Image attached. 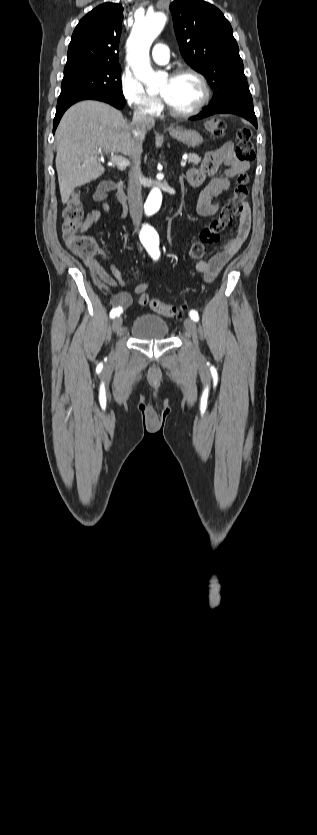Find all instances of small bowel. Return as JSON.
<instances>
[{"instance_id": "1", "label": "small bowel", "mask_w": 317, "mask_h": 835, "mask_svg": "<svg viewBox=\"0 0 317 835\" xmlns=\"http://www.w3.org/2000/svg\"><path fill=\"white\" fill-rule=\"evenodd\" d=\"M224 170L219 174L220 167ZM250 163L238 159L234 153L232 143H224L218 148L206 153L199 167L187 171L186 181L193 187L204 185L197 201V212L201 216H212L218 210V205L213 202L214 198L230 189L231 180L239 174L246 173ZM110 194L106 190V182L100 184L93 193V199L102 202ZM105 212H111L112 207L108 203H102ZM101 217L99 209H92L83 221L85 229L96 223ZM251 227V212L248 206L241 211L239 223L235 235L223 247V249L209 258L196 263V270L204 276L208 282L212 281L226 263L238 252L248 237ZM97 257L107 261L105 252L97 248L90 257L82 258L85 266L90 272L95 286L108 298L111 304L122 311L128 309L132 302V294L126 290L127 285L120 270L108 261L109 272L99 263ZM150 286L149 281L139 283L134 288L135 294L144 293ZM121 289L122 291L115 292Z\"/></svg>"}]
</instances>
